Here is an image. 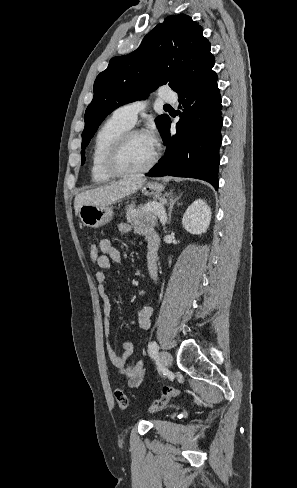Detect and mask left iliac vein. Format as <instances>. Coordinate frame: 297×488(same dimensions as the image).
<instances>
[{"mask_svg":"<svg viewBox=\"0 0 297 488\" xmlns=\"http://www.w3.org/2000/svg\"><path fill=\"white\" fill-rule=\"evenodd\" d=\"M160 361L162 363V365L168 369L171 365H172V356L170 353H168L167 351H161L160 352Z\"/></svg>","mask_w":297,"mask_h":488,"instance_id":"4c4485c4","label":"left iliac vein"}]
</instances>
